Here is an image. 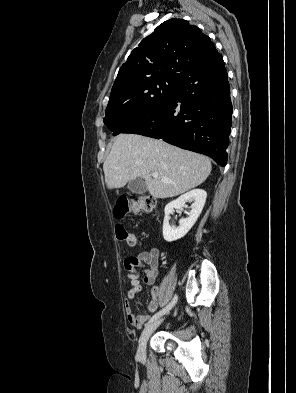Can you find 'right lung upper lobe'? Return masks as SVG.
Segmentation results:
<instances>
[{"instance_id":"obj_1","label":"right lung upper lobe","mask_w":296,"mask_h":393,"mask_svg":"<svg viewBox=\"0 0 296 393\" xmlns=\"http://www.w3.org/2000/svg\"><path fill=\"white\" fill-rule=\"evenodd\" d=\"M214 46L200 29L183 19H170L144 38L121 66L110 102L128 100L161 81H177Z\"/></svg>"}]
</instances>
